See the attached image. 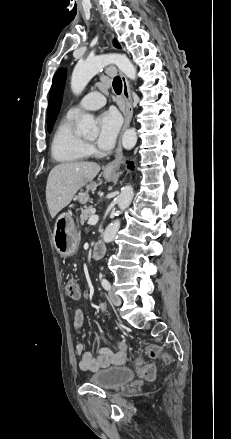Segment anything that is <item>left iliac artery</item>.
I'll return each mask as SVG.
<instances>
[{
  "mask_svg": "<svg viewBox=\"0 0 231 439\" xmlns=\"http://www.w3.org/2000/svg\"><path fill=\"white\" fill-rule=\"evenodd\" d=\"M102 286L104 289L106 290H110L111 289V285L109 283V281L107 279H102Z\"/></svg>",
  "mask_w": 231,
  "mask_h": 439,
  "instance_id": "44dca946",
  "label": "left iliac artery"
}]
</instances>
